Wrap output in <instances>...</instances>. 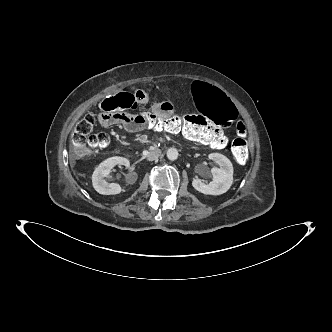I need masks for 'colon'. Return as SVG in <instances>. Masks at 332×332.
<instances>
[{"label": "colon", "mask_w": 332, "mask_h": 332, "mask_svg": "<svg viewBox=\"0 0 332 332\" xmlns=\"http://www.w3.org/2000/svg\"><path fill=\"white\" fill-rule=\"evenodd\" d=\"M188 96L191 111L195 115L169 114L161 117L158 114L155 115L151 109L143 111L137 106L136 93L129 92H120L104 99L100 105V113L125 112L132 109V112L142 116V124H145L150 132L181 134L192 141L219 149L224 148L227 140L217 126L228 127L237 120V105L217 86L209 85L201 80L193 81L189 85ZM95 122L96 117L92 113L86 114L77 122L72 134V147L76 155L84 156L89 148H104L108 145L110 140L108 134L95 132ZM236 130L237 136L232 142L231 149L237 162L243 164L248 158L245 127L238 124Z\"/></svg>", "instance_id": "1"}]
</instances>
